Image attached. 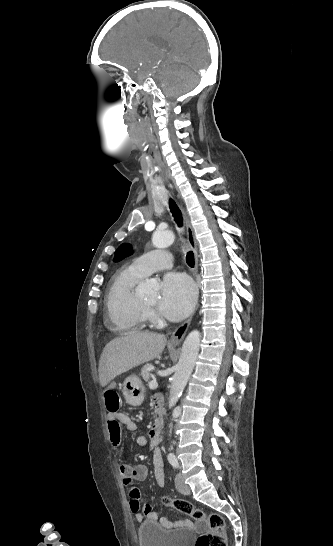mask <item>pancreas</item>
I'll return each instance as SVG.
<instances>
[{
  "instance_id": "pancreas-1",
  "label": "pancreas",
  "mask_w": 333,
  "mask_h": 546,
  "mask_svg": "<svg viewBox=\"0 0 333 546\" xmlns=\"http://www.w3.org/2000/svg\"><path fill=\"white\" fill-rule=\"evenodd\" d=\"M152 367V364H147L142 368L141 376L146 382L151 378L150 370Z\"/></svg>"
}]
</instances>
